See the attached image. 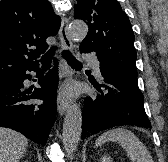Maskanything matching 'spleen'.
<instances>
[{
    "label": "spleen",
    "instance_id": "3e777b00",
    "mask_svg": "<svg viewBox=\"0 0 168 162\" xmlns=\"http://www.w3.org/2000/svg\"><path fill=\"white\" fill-rule=\"evenodd\" d=\"M112 141L118 143L127 153L131 162H154L145 145L129 130L124 128L111 129L103 133L95 142L96 146ZM102 162H113L111 157L104 155Z\"/></svg>",
    "mask_w": 168,
    "mask_h": 162
}]
</instances>
